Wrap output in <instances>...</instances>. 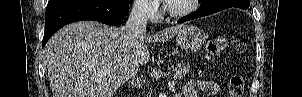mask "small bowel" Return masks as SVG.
I'll use <instances>...</instances> for the list:
<instances>
[{
	"mask_svg": "<svg viewBox=\"0 0 302 97\" xmlns=\"http://www.w3.org/2000/svg\"><path fill=\"white\" fill-rule=\"evenodd\" d=\"M195 86L207 93L217 94L220 91L219 86L216 83L201 79L190 81L185 85L183 90L184 97H196Z\"/></svg>",
	"mask_w": 302,
	"mask_h": 97,
	"instance_id": "1",
	"label": "small bowel"
}]
</instances>
